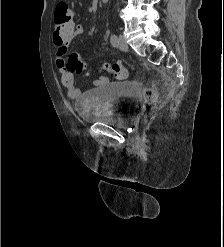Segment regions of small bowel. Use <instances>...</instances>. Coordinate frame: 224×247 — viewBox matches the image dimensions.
<instances>
[{
	"mask_svg": "<svg viewBox=\"0 0 224 247\" xmlns=\"http://www.w3.org/2000/svg\"><path fill=\"white\" fill-rule=\"evenodd\" d=\"M85 28L84 23H74V36L83 33ZM71 39L61 38L56 34L53 35V44L56 47L55 64L60 73L61 83L66 89L67 96L69 98H76L80 95V89L76 86V77L73 72L68 70V45ZM121 65L120 63H116ZM108 82V78L100 76L94 81V85H102Z\"/></svg>",
	"mask_w": 224,
	"mask_h": 247,
	"instance_id": "small-bowel-1",
	"label": "small bowel"
}]
</instances>
